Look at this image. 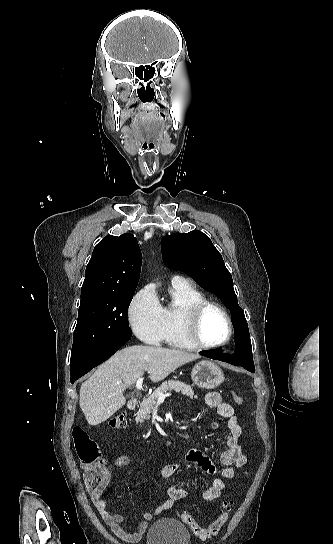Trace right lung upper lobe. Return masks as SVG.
<instances>
[{"instance_id":"cb5924a9","label":"right lung upper lobe","mask_w":333,"mask_h":544,"mask_svg":"<svg viewBox=\"0 0 333 544\" xmlns=\"http://www.w3.org/2000/svg\"><path fill=\"white\" fill-rule=\"evenodd\" d=\"M141 264L142 254L132 234L104 237L86 267L80 304L107 293L134 291Z\"/></svg>"}]
</instances>
